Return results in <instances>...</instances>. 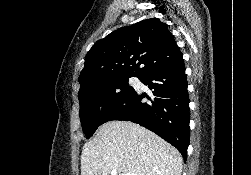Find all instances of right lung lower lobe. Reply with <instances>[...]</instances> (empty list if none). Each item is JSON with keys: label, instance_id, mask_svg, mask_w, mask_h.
<instances>
[{"label": "right lung lower lobe", "instance_id": "obj_1", "mask_svg": "<svg viewBox=\"0 0 251 175\" xmlns=\"http://www.w3.org/2000/svg\"><path fill=\"white\" fill-rule=\"evenodd\" d=\"M140 81L151 93L135 90L105 114L102 124L128 120L153 131L187 158L189 145V98L184 61L153 70ZM147 98L149 101L144 102Z\"/></svg>", "mask_w": 251, "mask_h": 175}]
</instances>
